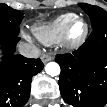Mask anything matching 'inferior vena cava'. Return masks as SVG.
I'll use <instances>...</instances> for the list:
<instances>
[{"mask_svg": "<svg viewBox=\"0 0 107 107\" xmlns=\"http://www.w3.org/2000/svg\"><path fill=\"white\" fill-rule=\"evenodd\" d=\"M19 54L27 58H39L40 51L37 47L28 43H22L18 47Z\"/></svg>", "mask_w": 107, "mask_h": 107, "instance_id": "inferior-vena-cava-1", "label": "inferior vena cava"}]
</instances>
